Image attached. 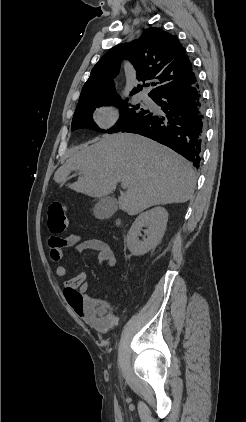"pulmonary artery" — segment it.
Segmentation results:
<instances>
[{
  "label": "pulmonary artery",
  "instance_id": "e3ab8cb5",
  "mask_svg": "<svg viewBox=\"0 0 246 422\" xmlns=\"http://www.w3.org/2000/svg\"><path fill=\"white\" fill-rule=\"evenodd\" d=\"M142 100L145 101V102H150V99L147 95H143Z\"/></svg>",
  "mask_w": 246,
  "mask_h": 422
}]
</instances>
